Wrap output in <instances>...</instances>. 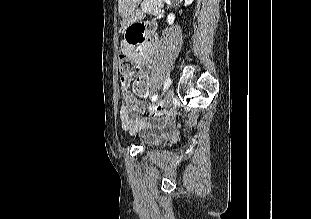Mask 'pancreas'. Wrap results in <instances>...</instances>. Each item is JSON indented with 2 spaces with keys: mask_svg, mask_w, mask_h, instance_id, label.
<instances>
[{
  "mask_svg": "<svg viewBox=\"0 0 311 219\" xmlns=\"http://www.w3.org/2000/svg\"><path fill=\"white\" fill-rule=\"evenodd\" d=\"M162 6V0H143L141 3L142 11L146 13L152 12L155 8L158 9Z\"/></svg>",
  "mask_w": 311,
  "mask_h": 219,
  "instance_id": "cf45deb5",
  "label": "pancreas"
}]
</instances>
